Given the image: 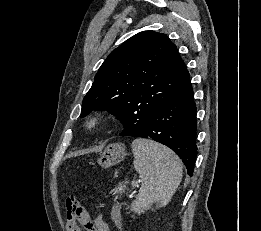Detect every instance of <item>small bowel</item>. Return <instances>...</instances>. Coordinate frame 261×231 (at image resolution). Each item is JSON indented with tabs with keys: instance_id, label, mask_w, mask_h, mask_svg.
<instances>
[{
	"instance_id": "obj_1",
	"label": "small bowel",
	"mask_w": 261,
	"mask_h": 231,
	"mask_svg": "<svg viewBox=\"0 0 261 231\" xmlns=\"http://www.w3.org/2000/svg\"><path fill=\"white\" fill-rule=\"evenodd\" d=\"M88 217L90 218L89 213L86 211ZM91 219V218H90ZM94 227H95V231H110L109 230V226L107 224V222L105 221V219L103 218L102 213L97 214L93 221H92ZM66 231H82V226L79 225L76 222H70L68 220H66V226H65Z\"/></svg>"
}]
</instances>
